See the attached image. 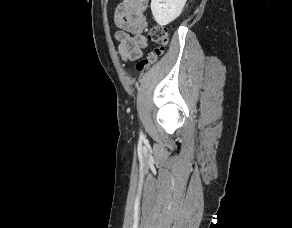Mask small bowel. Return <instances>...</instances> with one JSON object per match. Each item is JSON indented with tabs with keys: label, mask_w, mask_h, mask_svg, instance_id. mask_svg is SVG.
<instances>
[{
	"label": "small bowel",
	"mask_w": 292,
	"mask_h": 228,
	"mask_svg": "<svg viewBox=\"0 0 292 228\" xmlns=\"http://www.w3.org/2000/svg\"><path fill=\"white\" fill-rule=\"evenodd\" d=\"M148 0H122L114 11V23L118 30L115 38L123 60L135 61L142 56L147 45L143 31L147 25L145 12Z\"/></svg>",
	"instance_id": "small-bowel-1"
}]
</instances>
